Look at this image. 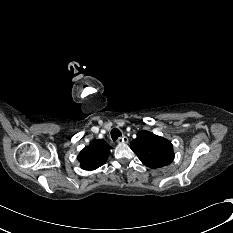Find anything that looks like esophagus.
<instances>
[{
	"label": "esophagus",
	"instance_id": "1",
	"mask_svg": "<svg viewBox=\"0 0 233 233\" xmlns=\"http://www.w3.org/2000/svg\"><path fill=\"white\" fill-rule=\"evenodd\" d=\"M118 144H126L128 143V138L126 136L119 137L117 140Z\"/></svg>",
	"mask_w": 233,
	"mask_h": 233
}]
</instances>
